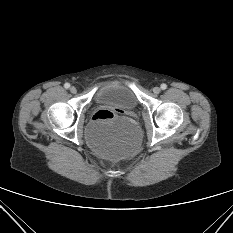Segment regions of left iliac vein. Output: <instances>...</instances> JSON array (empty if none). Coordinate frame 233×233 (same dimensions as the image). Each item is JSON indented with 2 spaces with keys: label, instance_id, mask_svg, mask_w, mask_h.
Instances as JSON below:
<instances>
[{
  "label": "left iliac vein",
  "instance_id": "4c4485c4",
  "mask_svg": "<svg viewBox=\"0 0 233 233\" xmlns=\"http://www.w3.org/2000/svg\"><path fill=\"white\" fill-rule=\"evenodd\" d=\"M160 91H161V89H160L159 87H154V88H153V93H154V94H159Z\"/></svg>",
  "mask_w": 233,
  "mask_h": 233
}]
</instances>
